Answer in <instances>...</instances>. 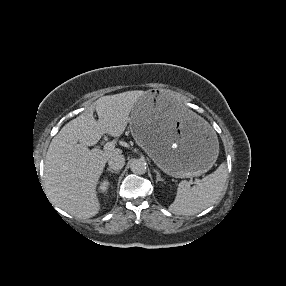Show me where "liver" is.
<instances>
[{"label":"liver","instance_id":"6515ba94","mask_svg":"<svg viewBox=\"0 0 286 286\" xmlns=\"http://www.w3.org/2000/svg\"><path fill=\"white\" fill-rule=\"evenodd\" d=\"M144 93L128 91L100 97L94 104L98 121L90 109L68 122L52 139L44 161V183L57 207L83 219L98 214L99 178L109 158L122 151L88 147L97 144L103 134L121 136L135 103Z\"/></svg>","mask_w":286,"mask_h":286}]
</instances>
